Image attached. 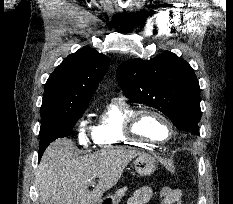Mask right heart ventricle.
Segmentation results:
<instances>
[{
  "label": "right heart ventricle",
  "mask_w": 233,
  "mask_h": 204,
  "mask_svg": "<svg viewBox=\"0 0 233 204\" xmlns=\"http://www.w3.org/2000/svg\"><path fill=\"white\" fill-rule=\"evenodd\" d=\"M133 111V107L121 98L107 102L93 128L94 142L101 148H146L147 143L131 139L125 133L127 118Z\"/></svg>",
  "instance_id": "e07e8e85"
}]
</instances>
